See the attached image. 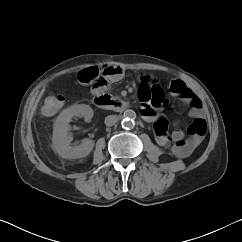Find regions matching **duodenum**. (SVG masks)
<instances>
[{"mask_svg": "<svg viewBox=\"0 0 242 242\" xmlns=\"http://www.w3.org/2000/svg\"><path fill=\"white\" fill-rule=\"evenodd\" d=\"M93 102L100 109L124 111L129 108V103L126 100L111 97L105 92H95Z\"/></svg>", "mask_w": 242, "mask_h": 242, "instance_id": "duodenum-1", "label": "duodenum"}]
</instances>
